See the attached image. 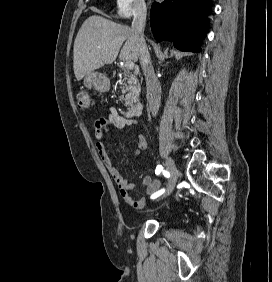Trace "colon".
I'll return each mask as SVG.
<instances>
[{"mask_svg": "<svg viewBox=\"0 0 272 282\" xmlns=\"http://www.w3.org/2000/svg\"><path fill=\"white\" fill-rule=\"evenodd\" d=\"M76 102L78 107L82 110H88L94 105L92 97L86 91H79L76 94Z\"/></svg>", "mask_w": 272, "mask_h": 282, "instance_id": "5ec220e1", "label": "colon"}]
</instances>
